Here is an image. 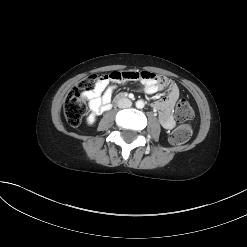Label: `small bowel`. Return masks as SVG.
Instances as JSON below:
<instances>
[{"label": "small bowel", "mask_w": 247, "mask_h": 247, "mask_svg": "<svg viewBox=\"0 0 247 247\" xmlns=\"http://www.w3.org/2000/svg\"><path fill=\"white\" fill-rule=\"evenodd\" d=\"M94 87L85 92L84 96L89 101V107L94 114H100L111 108V100L115 86L126 81H140L147 94H155L167 89L164 99L153 104L154 109L159 113L160 124L167 130L175 127V120L172 111L180 92L178 86L165 78H159L152 70H121L112 71L107 75H100Z\"/></svg>", "instance_id": "small-bowel-1"}]
</instances>
